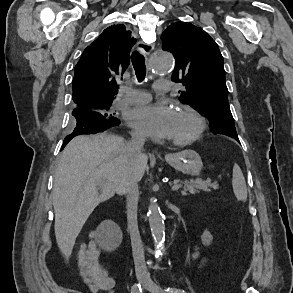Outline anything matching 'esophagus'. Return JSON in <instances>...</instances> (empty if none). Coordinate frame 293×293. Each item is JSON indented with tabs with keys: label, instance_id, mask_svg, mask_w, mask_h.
<instances>
[{
	"label": "esophagus",
	"instance_id": "1",
	"mask_svg": "<svg viewBox=\"0 0 293 293\" xmlns=\"http://www.w3.org/2000/svg\"><path fill=\"white\" fill-rule=\"evenodd\" d=\"M138 49L140 52L148 55L154 49V44H151V43L147 44V43L139 42Z\"/></svg>",
	"mask_w": 293,
	"mask_h": 293
}]
</instances>
